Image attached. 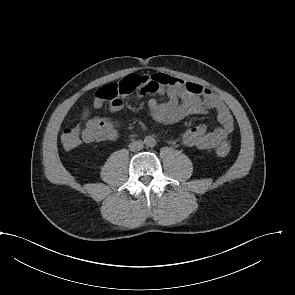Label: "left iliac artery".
Returning <instances> with one entry per match:
<instances>
[{"label": "left iliac artery", "mask_w": 295, "mask_h": 295, "mask_svg": "<svg viewBox=\"0 0 295 295\" xmlns=\"http://www.w3.org/2000/svg\"><path fill=\"white\" fill-rule=\"evenodd\" d=\"M155 145V143H152V146H154Z\"/></svg>", "instance_id": "obj_1"}]
</instances>
